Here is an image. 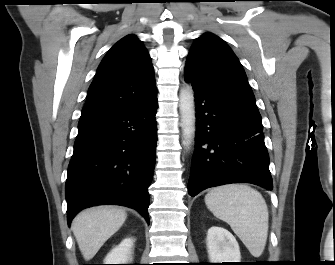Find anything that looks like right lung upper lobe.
I'll use <instances>...</instances> for the list:
<instances>
[{"instance_id":"1","label":"right lung upper lobe","mask_w":335,"mask_h":265,"mask_svg":"<svg viewBox=\"0 0 335 265\" xmlns=\"http://www.w3.org/2000/svg\"><path fill=\"white\" fill-rule=\"evenodd\" d=\"M157 95L149 53L135 35L118 41L103 58L87 95L81 119L134 108Z\"/></svg>"}]
</instances>
